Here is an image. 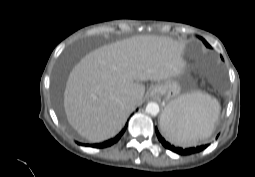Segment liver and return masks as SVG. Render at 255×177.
<instances>
[{
	"instance_id": "1",
	"label": "liver",
	"mask_w": 255,
	"mask_h": 177,
	"mask_svg": "<svg viewBox=\"0 0 255 177\" xmlns=\"http://www.w3.org/2000/svg\"><path fill=\"white\" fill-rule=\"evenodd\" d=\"M183 48L169 37L141 35L90 52L73 68L66 83L68 122L92 143L114 137L142 102L145 87L140 82L183 74Z\"/></svg>"
}]
</instances>
